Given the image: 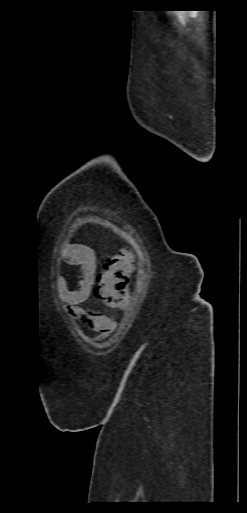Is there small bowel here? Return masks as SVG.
Masks as SVG:
<instances>
[{
    "label": "small bowel",
    "instance_id": "1",
    "mask_svg": "<svg viewBox=\"0 0 247 513\" xmlns=\"http://www.w3.org/2000/svg\"><path fill=\"white\" fill-rule=\"evenodd\" d=\"M61 259L66 265L80 268L78 283L74 289L70 287L65 275H59L56 278L58 294L65 302L67 311L94 326L99 331L101 338L110 336L115 329V319L108 315L97 314L92 309L84 306L91 295L95 281V258L93 253L76 244H69L62 248Z\"/></svg>",
    "mask_w": 247,
    "mask_h": 513
}]
</instances>
